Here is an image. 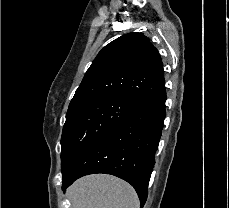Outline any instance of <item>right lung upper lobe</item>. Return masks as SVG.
<instances>
[{
    "mask_svg": "<svg viewBox=\"0 0 229 208\" xmlns=\"http://www.w3.org/2000/svg\"><path fill=\"white\" fill-rule=\"evenodd\" d=\"M164 91V70L157 49L142 33H128L99 52L69 109L106 95L126 96L144 105Z\"/></svg>",
    "mask_w": 229,
    "mask_h": 208,
    "instance_id": "1",
    "label": "right lung upper lobe"
}]
</instances>
